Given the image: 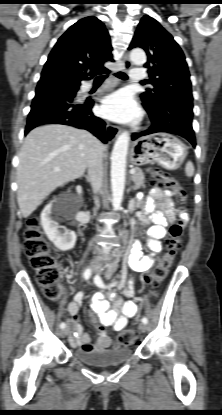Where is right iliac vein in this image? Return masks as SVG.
I'll return each instance as SVG.
<instances>
[{
	"label": "right iliac vein",
	"mask_w": 222,
	"mask_h": 415,
	"mask_svg": "<svg viewBox=\"0 0 222 415\" xmlns=\"http://www.w3.org/2000/svg\"><path fill=\"white\" fill-rule=\"evenodd\" d=\"M92 268V267H91ZM67 334H68V328H65V329H62L61 331H60V335H61V337H66L67 336Z\"/></svg>",
	"instance_id": "1"
}]
</instances>
